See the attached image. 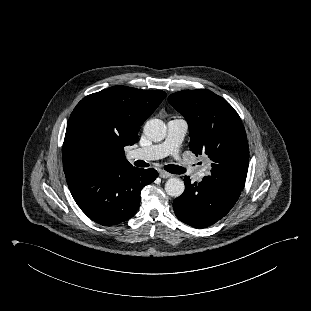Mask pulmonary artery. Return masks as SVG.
I'll return each mask as SVG.
<instances>
[{
	"label": "pulmonary artery",
	"mask_w": 311,
	"mask_h": 311,
	"mask_svg": "<svg viewBox=\"0 0 311 311\" xmlns=\"http://www.w3.org/2000/svg\"><path fill=\"white\" fill-rule=\"evenodd\" d=\"M187 123L182 118H172L167 123V136L166 139L155 145L145 148H139L131 153L134 158L144 160H155L166 157L168 155L178 156L179 148L187 132ZM208 173L207 167L196 169L194 176L196 180H202Z\"/></svg>",
	"instance_id": "e3ab8cb5"
}]
</instances>
